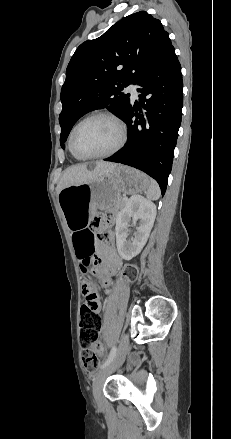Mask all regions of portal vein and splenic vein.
Returning <instances> with one entry per match:
<instances>
[{
	"instance_id": "18ae733b",
	"label": "portal vein and splenic vein",
	"mask_w": 231,
	"mask_h": 439,
	"mask_svg": "<svg viewBox=\"0 0 231 439\" xmlns=\"http://www.w3.org/2000/svg\"><path fill=\"white\" fill-rule=\"evenodd\" d=\"M124 200H127V197H126V196H124Z\"/></svg>"
}]
</instances>
